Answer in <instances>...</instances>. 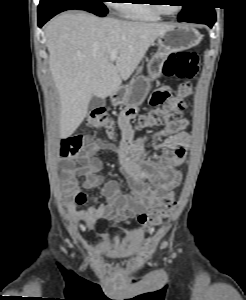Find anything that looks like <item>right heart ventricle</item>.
<instances>
[{"label": "right heart ventricle", "instance_id": "obj_1", "mask_svg": "<svg viewBox=\"0 0 246 300\" xmlns=\"http://www.w3.org/2000/svg\"><path fill=\"white\" fill-rule=\"evenodd\" d=\"M129 3L115 4L118 12L128 19L140 22H156L161 15L155 10L151 0H126Z\"/></svg>", "mask_w": 246, "mask_h": 300}]
</instances>
